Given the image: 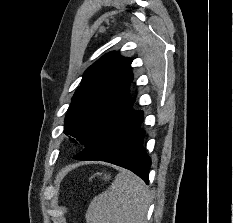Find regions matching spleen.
I'll return each mask as SVG.
<instances>
[{
  "label": "spleen",
  "mask_w": 233,
  "mask_h": 223,
  "mask_svg": "<svg viewBox=\"0 0 233 223\" xmlns=\"http://www.w3.org/2000/svg\"><path fill=\"white\" fill-rule=\"evenodd\" d=\"M149 191L140 177L121 171L112 185L93 197L86 223H145Z\"/></svg>",
  "instance_id": "spleen-1"
}]
</instances>
